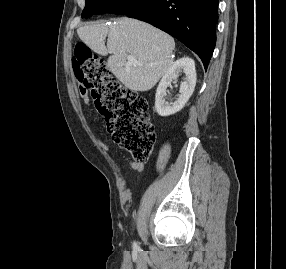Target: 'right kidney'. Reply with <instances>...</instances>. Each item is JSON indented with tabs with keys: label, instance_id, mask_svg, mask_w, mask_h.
I'll return each instance as SVG.
<instances>
[{
	"label": "right kidney",
	"instance_id": "ca27d5eb",
	"mask_svg": "<svg viewBox=\"0 0 286 269\" xmlns=\"http://www.w3.org/2000/svg\"><path fill=\"white\" fill-rule=\"evenodd\" d=\"M185 74V79L180 84L179 98L172 104L166 102V88L179 73ZM196 85L195 62L189 57L178 59L162 77L155 95V109L160 116H169L179 112L193 94Z\"/></svg>",
	"mask_w": 286,
	"mask_h": 269
}]
</instances>
